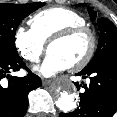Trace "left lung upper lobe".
<instances>
[{
  "instance_id": "5c2ea615",
  "label": "left lung upper lobe",
  "mask_w": 117,
  "mask_h": 117,
  "mask_svg": "<svg viewBox=\"0 0 117 117\" xmlns=\"http://www.w3.org/2000/svg\"><path fill=\"white\" fill-rule=\"evenodd\" d=\"M82 4H79L81 6ZM88 12L92 20H96L97 28L100 32L98 47L93 59L82 70L86 71L105 60L111 54L117 52V28L106 18H97L93 8L88 7Z\"/></svg>"
}]
</instances>
